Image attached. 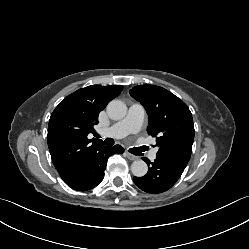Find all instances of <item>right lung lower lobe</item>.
<instances>
[{
    "mask_svg": "<svg viewBox=\"0 0 249 249\" xmlns=\"http://www.w3.org/2000/svg\"><path fill=\"white\" fill-rule=\"evenodd\" d=\"M124 149L115 145L107 147L100 145L94 149L87 160L77 169L75 174L65 183L72 189L86 191L96 187L104 177L107 159L113 153H123Z\"/></svg>",
    "mask_w": 249,
    "mask_h": 249,
    "instance_id": "98d812e1",
    "label": "right lung lower lobe"
}]
</instances>
